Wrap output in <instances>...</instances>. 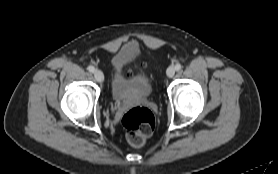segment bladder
Returning a JSON list of instances; mask_svg holds the SVG:
<instances>
[{"label":"bladder","instance_id":"bladder-1","mask_svg":"<svg viewBox=\"0 0 278 174\" xmlns=\"http://www.w3.org/2000/svg\"><path fill=\"white\" fill-rule=\"evenodd\" d=\"M134 54L133 48L123 47L111 59V92L117 102L148 98L152 93V81L149 75L139 72L127 76L124 73L125 66L132 60Z\"/></svg>","mask_w":278,"mask_h":174}]
</instances>
